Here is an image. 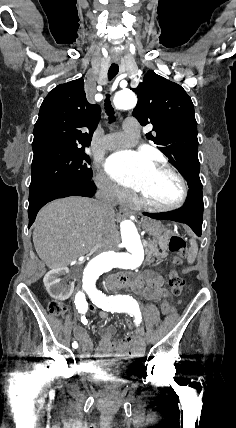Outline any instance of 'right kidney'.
<instances>
[{
    "mask_svg": "<svg viewBox=\"0 0 236 428\" xmlns=\"http://www.w3.org/2000/svg\"><path fill=\"white\" fill-rule=\"evenodd\" d=\"M44 285L48 286V292L52 301H67L73 290L72 283H62L65 277L64 269H46L44 272Z\"/></svg>",
    "mask_w": 236,
    "mask_h": 428,
    "instance_id": "right-kidney-1",
    "label": "right kidney"
}]
</instances>
